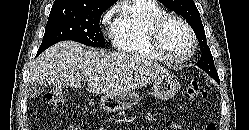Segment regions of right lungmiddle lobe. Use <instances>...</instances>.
Here are the masks:
<instances>
[{"mask_svg":"<svg viewBox=\"0 0 249 130\" xmlns=\"http://www.w3.org/2000/svg\"><path fill=\"white\" fill-rule=\"evenodd\" d=\"M109 7L87 8L53 5L38 53L63 40H73L87 46L104 47L105 40L99 22Z\"/></svg>","mask_w":249,"mask_h":130,"instance_id":"right-lung-middle-lobe-1","label":"right lung middle lobe"}]
</instances>
